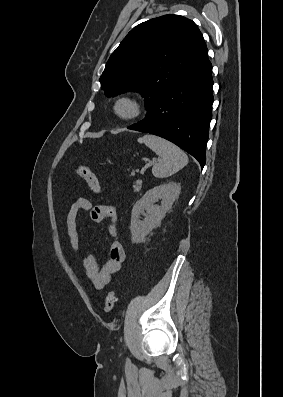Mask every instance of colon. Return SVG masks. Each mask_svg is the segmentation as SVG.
<instances>
[{"instance_id": "colon-1", "label": "colon", "mask_w": 283, "mask_h": 397, "mask_svg": "<svg viewBox=\"0 0 283 397\" xmlns=\"http://www.w3.org/2000/svg\"><path fill=\"white\" fill-rule=\"evenodd\" d=\"M75 172L87 183L90 190L95 194H100L102 192L99 180L93 170L85 164H80L76 166ZM116 303V296L113 292H109L105 298L104 309L106 312L113 310Z\"/></svg>"}]
</instances>
